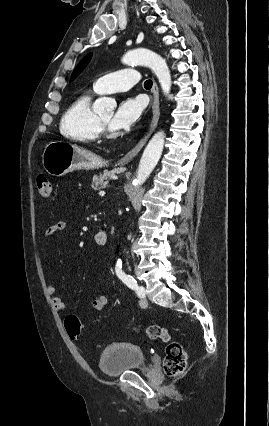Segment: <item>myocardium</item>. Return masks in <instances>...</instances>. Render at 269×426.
<instances>
[{
  "label": "myocardium",
  "instance_id": "1",
  "mask_svg": "<svg viewBox=\"0 0 269 426\" xmlns=\"http://www.w3.org/2000/svg\"><path fill=\"white\" fill-rule=\"evenodd\" d=\"M98 123L102 131H104L105 133H109L107 124L104 121H102L100 117H98Z\"/></svg>",
  "mask_w": 269,
  "mask_h": 426
}]
</instances>
